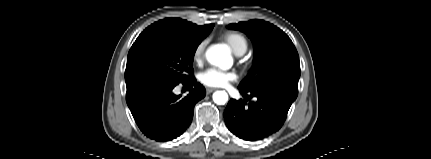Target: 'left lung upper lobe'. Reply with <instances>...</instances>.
Here are the masks:
<instances>
[{"label": "left lung upper lobe", "instance_id": "left-lung-upper-lobe-1", "mask_svg": "<svg viewBox=\"0 0 431 159\" xmlns=\"http://www.w3.org/2000/svg\"><path fill=\"white\" fill-rule=\"evenodd\" d=\"M228 28L246 33L254 45L253 66L239 89L249 92L278 85L298 92L299 56L287 34L273 24L257 19L230 24Z\"/></svg>", "mask_w": 431, "mask_h": 159}]
</instances>
